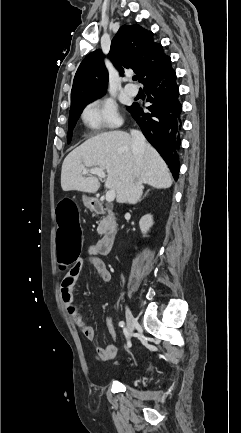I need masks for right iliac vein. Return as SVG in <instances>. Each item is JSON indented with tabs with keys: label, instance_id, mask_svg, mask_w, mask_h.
I'll return each instance as SVG.
<instances>
[{
	"label": "right iliac vein",
	"instance_id": "63e3f726",
	"mask_svg": "<svg viewBox=\"0 0 241 433\" xmlns=\"http://www.w3.org/2000/svg\"><path fill=\"white\" fill-rule=\"evenodd\" d=\"M126 320H127L128 335L131 336V334L133 333L134 325L136 324V319L134 318L132 312L128 307H126Z\"/></svg>",
	"mask_w": 241,
	"mask_h": 433
}]
</instances>
